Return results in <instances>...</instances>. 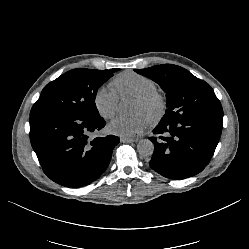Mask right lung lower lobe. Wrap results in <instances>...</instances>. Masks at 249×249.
<instances>
[{
	"mask_svg": "<svg viewBox=\"0 0 249 249\" xmlns=\"http://www.w3.org/2000/svg\"><path fill=\"white\" fill-rule=\"evenodd\" d=\"M102 117H81L67 112L30 116V141L44 173L66 187H81L98 179L108 167L119 143L114 135L89 134L105 126Z\"/></svg>",
	"mask_w": 249,
	"mask_h": 249,
	"instance_id": "obj_1",
	"label": "right lung lower lobe"
}]
</instances>
